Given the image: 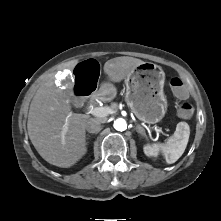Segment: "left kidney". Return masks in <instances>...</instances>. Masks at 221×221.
<instances>
[{
	"mask_svg": "<svg viewBox=\"0 0 221 221\" xmlns=\"http://www.w3.org/2000/svg\"><path fill=\"white\" fill-rule=\"evenodd\" d=\"M144 153L148 156V157H157L158 156V149L156 146L153 145H145L144 146Z\"/></svg>",
	"mask_w": 221,
	"mask_h": 221,
	"instance_id": "left-kidney-1",
	"label": "left kidney"
}]
</instances>
